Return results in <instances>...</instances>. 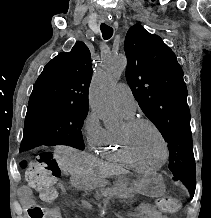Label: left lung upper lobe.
<instances>
[{
    "label": "left lung upper lobe",
    "mask_w": 211,
    "mask_h": 218,
    "mask_svg": "<svg viewBox=\"0 0 211 218\" xmlns=\"http://www.w3.org/2000/svg\"><path fill=\"white\" fill-rule=\"evenodd\" d=\"M126 79L145 115L168 143L169 169L194 194L195 159L183 71L174 52L141 25L125 38Z\"/></svg>",
    "instance_id": "obj_1"
}]
</instances>
